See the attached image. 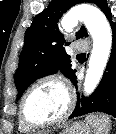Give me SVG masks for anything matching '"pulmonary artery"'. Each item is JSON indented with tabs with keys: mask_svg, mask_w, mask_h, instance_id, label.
<instances>
[{
	"mask_svg": "<svg viewBox=\"0 0 116 134\" xmlns=\"http://www.w3.org/2000/svg\"><path fill=\"white\" fill-rule=\"evenodd\" d=\"M87 48L88 44L85 41H77L73 44V51L76 53L86 51Z\"/></svg>",
	"mask_w": 116,
	"mask_h": 134,
	"instance_id": "1",
	"label": "pulmonary artery"
}]
</instances>
